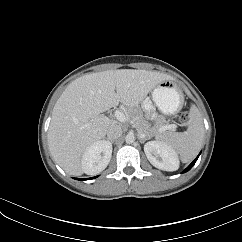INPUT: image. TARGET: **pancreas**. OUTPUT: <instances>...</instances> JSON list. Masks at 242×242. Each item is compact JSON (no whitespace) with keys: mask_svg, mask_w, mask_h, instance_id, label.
Returning a JSON list of instances; mask_svg holds the SVG:
<instances>
[{"mask_svg":"<svg viewBox=\"0 0 242 242\" xmlns=\"http://www.w3.org/2000/svg\"><path fill=\"white\" fill-rule=\"evenodd\" d=\"M125 112L128 115L130 121L134 124L137 132L139 134H144L147 138H151L156 134H160L166 131L164 130V124H157L154 127H151L150 123L142 117L141 112L137 110L127 109Z\"/></svg>","mask_w":242,"mask_h":242,"instance_id":"1","label":"pancreas"}]
</instances>
